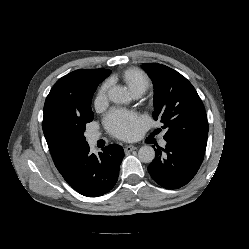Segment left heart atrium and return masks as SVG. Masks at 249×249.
Listing matches in <instances>:
<instances>
[{"mask_svg": "<svg viewBox=\"0 0 249 249\" xmlns=\"http://www.w3.org/2000/svg\"><path fill=\"white\" fill-rule=\"evenodd\" d=\"M104 123L113 136L125 140L137 137L141 130V123L137 117L118 110L111 111Z\"/></svg>", "mask_w": 249, "mask_h": 249, "instance_id": "1", "label": "left heart atrium"}]
</instances>
